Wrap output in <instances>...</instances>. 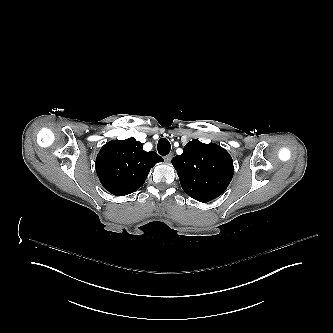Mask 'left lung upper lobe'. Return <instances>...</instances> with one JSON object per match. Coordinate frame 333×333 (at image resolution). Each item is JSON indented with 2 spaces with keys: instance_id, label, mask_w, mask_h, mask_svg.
I'll use <instances>...</instances> for the list:
<instances>
[{
  "instance_id": "left-lung-upper-lobe-1",
  "label": "left lung upper lobe",
  "mask_w": 333,
  "mask_h": 333,
  "mask_svg": "<svg viewBox=\"0 0 333 333\" xmlns=\"http://www.w3.org/2000/svg\"><path fill=\"white\" fill-rule=\"evenodd\" d=\"M183 190L199 202H209L228 187L234 173L229 153L216 144L197 139L188 142L181 155L172 159Z\"/></svg>"
}]
</instances>
